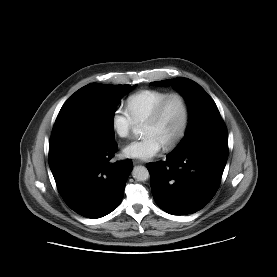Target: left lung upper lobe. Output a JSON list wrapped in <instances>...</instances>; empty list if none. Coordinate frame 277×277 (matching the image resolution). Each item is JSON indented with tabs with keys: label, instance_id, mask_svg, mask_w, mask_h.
I'll list each match as a JSON object with an SVG mask.
<instances>
[{
	"label": "left lung upper lobe",
	"instance_id": "obj_1",
	"mask_svg": "<svg viewBox=\"0 0 277 277\" xmlns=\"http://www.w3.org/2000/svg\"><path fill=\"white\" fill-rule=\"evenodd\" d=\"M155 85H169L176 88L189 106L190 122L184 138L172 153L182 151L186 145L202 132L223 127L224 123L212 98L196 82L187 78H176L152 82Z\"/></svg>",
	"mask_w": 277,
	"mask_h": 277
}]
</instances>
